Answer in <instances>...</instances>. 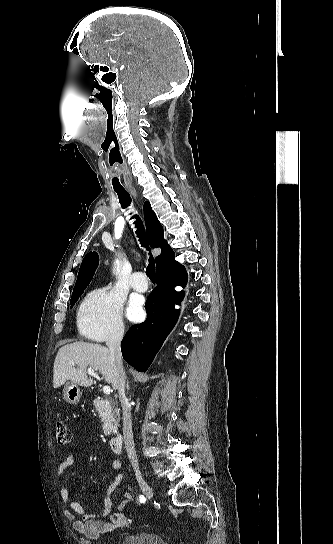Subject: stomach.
Segmentation results:
<instances>
[{
    "label": "stomach",
    "instance_id": "stomach-1",
    "mask_svg": "<svg viewBox=\"0 0 333 544\" xmlns=\"http://www.w3.org/2000/svg\"><path fill=\"white\" fill-rule=\"evenodd\" d=\"M82 392L77 384L66 383L63 389V398L69 404H77L80 401Z\"/></svg>",
    "mask_w": 333,
    "mask_h": 544
}]
</instances>
